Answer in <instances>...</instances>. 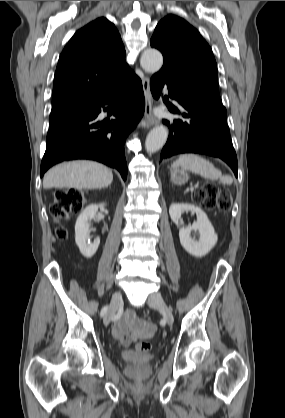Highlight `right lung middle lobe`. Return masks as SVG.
I'll return each mask as SVG.
<instances>
[{
	"instance_id": "dd1d6c3e",
	"label": "right lung middle lobe",
	"mask_w": 285,
	"mask_h": 418,
	"mask_svg": "<svg viewBox=\"0 0 285 418\" xmlns=\"http://www.w3.org/2000/svg\"><path fill=\"white\" fill-rule=\"evenodd\" d=\"M88 109V105H70L58 108H52L50 114V125L55 124L74 114L84 112Z\"/></svg>"
}]
</instances>
